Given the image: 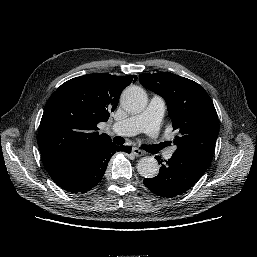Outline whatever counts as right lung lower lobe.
<instances>
[{
  "instance_id": "obj_1",
  "label": "right lung lower lobe",
  "mask_w": 257,
  "mask_h": 257,
  "mask_svg": "<svg viewBox=\"0 0 257 257\" xmlns=\"http://www.w3.org/2000/svg\"><path fill=\"white\" fill-rule=\"evenodd\" d=\"M131 149L129 146L119 147L111 142L71 156L49 169L48 173L62 189L72 193H84L102 180L110 157L114 153H130Z\"/></svg>"
}]
</instances>
